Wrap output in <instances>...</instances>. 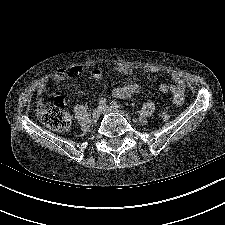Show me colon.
<instances>
[{
    "instance_id": "obj_1",
    "label": "colon",
    "mask_w": 225,
    "mask_h": 225,
    "mask_svg": "<svg viewBox=\"0 0 225 225\" xmlns=\"http://www.w3.org/2000/svg\"><path fill=\"white\" fill-rule=\"evenodd\" d=\"M39 116L45 125L54 130H66L70 124V117L62 99H57L54 103L42 108ZM161 117L163 121H167L170 118L169 111L164 110Z\"/></svg>"
}]
</instances>
